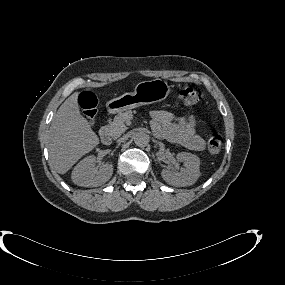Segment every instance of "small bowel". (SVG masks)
<instances>
[{"label":"small bowel","mask_w":285,"mask_h":285,"mask_svg":"<svg viewBox=\"0 0 285 285\" xmlns=\"http://www.w3.org/2000/svg\"><path fill=\"white\" fill-rule=\"evenodd\" d=\"M151 118V127L156 136L193 151L204 148L203 139L196 130L194 115L176 119L167 110H154Z\"/></svg>","instance_id":"1"}]
</instances>
